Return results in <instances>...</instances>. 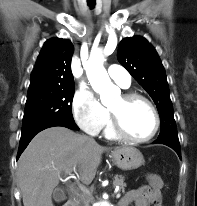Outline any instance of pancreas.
<instances>
[{
  "label": "pancreas",
  "instance_id": "cf45deb5",
  "mask_svg": "<svg viewBox=\"0 0 197 206\" xmlns=\"http://www.w3.org/2000/svg\"><path fill=\"white\" fill-rule=\"evenodd\" d=\"M114 186H119L120 189L124 191L126 187V183H124V177L122 175H116L114 177L113 181ZM90 201H91V195L84 193L79 196V198L76 201L77 206H90Z\"/></svg>",
  "mask_w": 197,
  "mask_h": 206
}]
</instances>
